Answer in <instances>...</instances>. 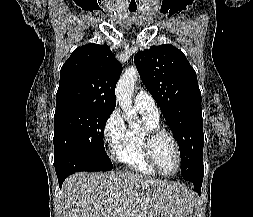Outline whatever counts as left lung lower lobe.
I'll use <instances>...</instances> for the list:
<instances>
[{"label":"left lung lower lobe","mask_w":253,"mask_h":217,"mask_svg":"<svg viewBox=\"0 0 253 217\" xmlns=\"http://www.w3.org/2000/svg\"><path fill=\"white\" fill-rule=\"evenodd\" d=\"M202 181H203V175H201L198 178H193L191 180H189V184H191L194 189L196 190V192L199 193V195L201 194V186H202Z\"/></svg>","instance_id":"left-lung-lower-lobe-1"}]
</instances>
